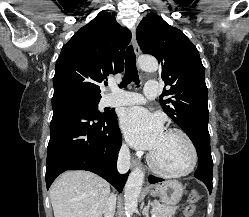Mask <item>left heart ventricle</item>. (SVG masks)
Segmentation results:
<instances>
[{
	"label": "left heart ventricle",
	"instance_id": "left-heart-ventricle-1",
	"mask_svg": "<svg viewBox=\"0 0 249 217\" xmlns=\"http://www.w3.org/2000/svg\"><path fill=\"white\" fill-rule=\"evenodd\" d=\"M152 152L156 164L167 171L184 170L190 163V150L178 134L164 133L159 146Z\"/></svg>",
	"mask_w": 249,
	"mask_h": 217
}]
</instances>
